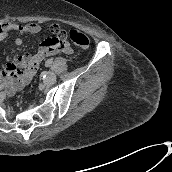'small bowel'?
<instances>
[{
  "label": "small bowel",
  "instance_id": "small-bowel-1",
  "mask_svg": "<svg viewBox=\"0 0 172 172\" xmlns=\"http://www.w3.org/2000/svg\"><path fill=\"white\" fill-rule=\"evenodd\" d=\"M13 28L17 29V26H7L6 28L0 27V40L5 39L7 36V30ZM25 31H30V32H36L38 31V26L35 24L28 25L27 27L24 28ZM16 44H21L22 39L21 37L17 36L15 38ZM68 46L66 44L58 45L54 44L52 39H47L44 40L41 45H40V50L37 55L31 57V56H26L24 60V64L27 63L26 61L28 60V64H26V71L21 75L20 78V84L16 86V88H21L23 87L26 83H28L31 79V76L35 73V70L39 64V61L43 59L46 55L54 54L60 51H67ZM26 60V61H25Z\"/></svg>",
  "mask_w": 172,
  "mask_h": 172
}]
</instances>
